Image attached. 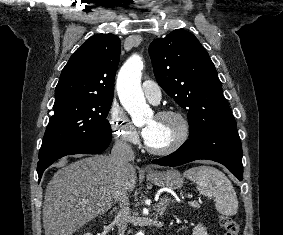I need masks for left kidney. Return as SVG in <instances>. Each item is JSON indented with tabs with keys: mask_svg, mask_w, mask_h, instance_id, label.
Listing matches in <instances>:
<instances>
[{
	"mask_svg": "<svg viewBox=\"0 0 283 235\" xmlns=\"http://www.w3.org/2000/svg\"><path fill=\"white\" fill-rule=\"evenodd\" d=\"M193 235H208L207 230L201 224L195 226L193 230Z\"/></svg>",
	"mask_w": 283,
	"mask_h": 235,
	"instance_id": "obj_1",
	"label": "left kidney"
}]
</instances>
